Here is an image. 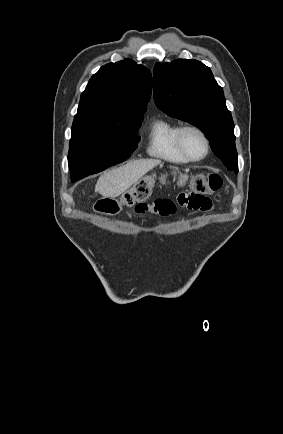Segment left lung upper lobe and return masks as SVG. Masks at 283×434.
Masks as SVG:
<instances>
[{
  "mask_svg": "<svg viewBox=\"0 0 283 434\" xmlns=\"http://www.w3.org/2000/svg\"><path fill=\"white\" fill-rule=\"evenodd\" d=\"M153 77L156 106L202 130L214 154L237 174L233 119L210 68L194 59H178L157 63Z\"/></svg>",
  "mask_w": 283,
  "mask_h": 434,
  "instance_id": "5c2ea615",
  "label": "left lung upper lobe"
}]
</instances>
